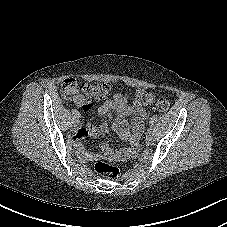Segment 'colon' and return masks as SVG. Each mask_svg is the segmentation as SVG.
Returning a JSON list of instances; mask_svg holds the SVG:
<instances>
[{
    "instance_id": "5ec220e1",
    "label": "colon",
    "mask_w": 227,
    "mask_h": 227,
    "mask_svg": "<svg viewBox=\"0 0 227 227\" xmlns=\"http://www.w3.org/2000/svg\"><path fill=\"white\" fill-rule=\"evenodd\" d=\"M80 91L86 95L89 101L91 99L100 100L104 99L109 94L111 87L106 83L81 84L75 78H67L62 82L61 93L63 96L74 98L79 95ZM135 100L143 105L152 104L154 102V95L147 90L140 89L135 94ZM156 108L161 112H167L169 110V102L161 98L156 102ZM94 169L100 175L111 179L118 177L120 173L116 166L103 161L97 162L94 165Z\"/></svg>"
}]
</instances>
